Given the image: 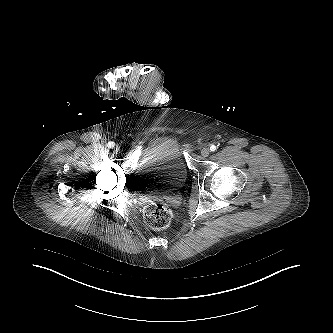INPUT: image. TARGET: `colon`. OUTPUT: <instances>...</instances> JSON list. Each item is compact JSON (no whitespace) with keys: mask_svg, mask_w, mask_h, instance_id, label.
Instances as JSON below:
<instances>
[{"mask_svg":"<svg viewBox=\"0 0 333 333\" xmlns=\"http://www.w3.org/2000/svg\"><path fill=\"white\" fill-rule=\"evenodd\" d=\"M171 209L162 203H152L144 210V221L146 225L155 230L168 227L172 220Z\"/></svg>","mask_w":333,"mask_h":333,"instance_id":"colon-1","label":"colon"}]
</instances>
